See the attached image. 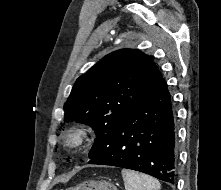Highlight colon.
<instances>
[{"label":"colon","mask_w":221,"mask_h":190,"mask_svg":"<svg viewBox=\"0 0 221 190\" xmlns=\"http://www.w3.org/2000/svg\"><path fill=\"white\" fill-rule=\"evenodd\" d=\"M62 190H117L108 180H89Z\"/></svg>","instance_id":"obj_1"}]
</instances>
